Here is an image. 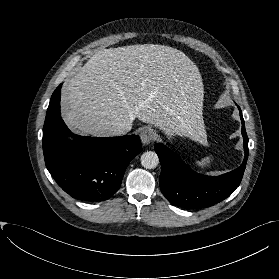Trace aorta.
Returning <instances> with one entry per match:
<instances>
[{"instance_id": "obj_1", "label": "aorta", "mask_w": 279, "mask_h": 279, "mask_svg": "<svg viewBox=\"0 0 279 279\" xmlns=\"http://www.w3.org/2000/svg\"><path fill=\"white\" fill-rule=\"evenodd\" d=\"M158 163V155L153 151H147L141 155V165L146 169H154Z\"/></svg>"}]
</instances>
